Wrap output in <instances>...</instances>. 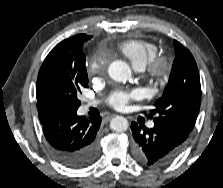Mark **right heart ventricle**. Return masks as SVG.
Segmentation results:
<instances>
[{
  "mask_svg": "<svg viewBox=\"0 0 223 188\" xmlns=\"http://www.w3.org/2000/svg\"><path fill=\"white\" fill-rule=\"evenodd\" d=\"M117 50L125 56L134 68L143 69L157 56L158 46L151 41L128 39L117 44Z\"/></svg>",
  "mask_w": 223,
  "mask_h": 188,
  "instance_id": "obj_1",
  "label": "right heart ventricle"
}]
</instances>
